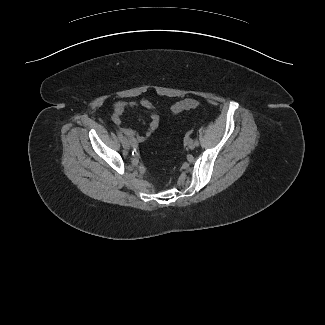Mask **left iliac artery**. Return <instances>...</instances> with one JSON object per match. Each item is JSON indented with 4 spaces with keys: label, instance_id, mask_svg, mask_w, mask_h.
<instances>
[{
    "label": "left iliac artery",
    "instance_id": "obj_1",
    "mask_svg": "<svg viewBox=\"0 0 325 325\" xmlns=\"http://www.w3.org/2000/svg\"><path fill=\"white\" fill-rule=\"evenodd\" d=\"M195 145H196V146H198V145H199V142H198L197 140L195 141Z\"/></svg>",
    "mask_w": 325,
    "mask_h": 325
}]
</instances>
